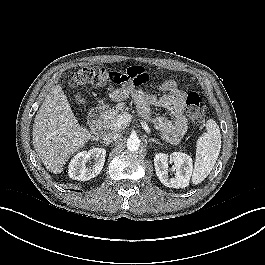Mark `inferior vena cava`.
Here are the masks:
<instances>
[{"label": "inferior vena cava", "mask_w": 265, "mask_h": 265, "mask_svg": "<svg viewBox=\"0 0 265 265\" xmlns=\"http://www.w3.org/2000/svg\"><path fill=\"white\" fill-rule=\"evenodd\" d=\"M119 137H120V135L118 133L109 132V133H106L104 135V140L106 142H113V141L117 140Z\"/></svg>", "instance_id": "1"}]
</instances>
